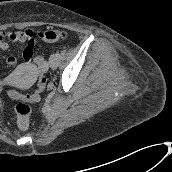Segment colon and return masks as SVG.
Segmentation results:
<instances>
[{
    "instance_id": "5ec220e1",
    "label": "colon",
    "mask_w": 172,
    "mask_h": 172,
    "mask_svg": "<svg viewBox=\"0 0 172 172\" xmlns=\"http://www.w3.org/2000/svg\"><path fill=\"white\" fill-rule=\"evenodd\" d=\"M68 33L64 30H47L44 34V39L48 42L57 40L68 39ZM35 63L39 69H45V61L42 56L35 58ZM47 78L41 75L37 82V89L32 94L23 95L15 90H9V96L13 99L18 100V103L14 107L16 115V122L22 130H25L29 126V117L32 113V103L37 102L40 99V95L45 89Z\"/></svg>"
}]
</instances>
